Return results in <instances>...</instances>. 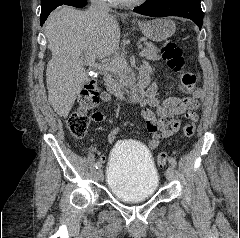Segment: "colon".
<instances>
[{
  "instance_id": "obj_1",
  "label": "colon",
  "mask_w": 240,
  "mask_h": 238,
  "mask_svg": "<svg viewBox=\"0 0 240 238\" xmlns=\"http://www.w3.org/2000/svg\"><path fill=\"white\" fill-rule=\"evenodd\" d=\"M163 59L167 61L168 66L179 74L181 84L186 89H191L195 86L196 76L194 73L184 71L185 59L179 48L173 42H167L162 48ZM99 101V87L96 80H88L79 97L78 110L69 115L66 120L68 131L73 137L82 138L85 136L89 117L87 111L91 110ZM196 127L193 120H188L183 128V133L186 137H192L195 134ZM168 156L165 152H161L157 156V164L163 167L167 164Z\"/></svg>"
}]
</instances>
